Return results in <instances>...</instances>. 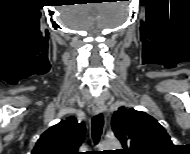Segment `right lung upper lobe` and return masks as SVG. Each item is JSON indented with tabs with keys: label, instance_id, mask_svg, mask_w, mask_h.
I'll return each instance as SVG.
<instances>
[{
	"label": "right lung upper lobe",
	"instance_id": "right-lung-upper-lobe-1",
	"mask_svg": "<svg viewBox=\"0 0 190 154\" xmlns=\"http://www.w3.org/2000/svg\"><path fill=\"white\" fill-rule=\"evenodd\" d=\"M85 125L74 116L50 127L38 139L32 154H77L83 141Z\"/></svg>",
	"mask_w": 190,
	"mask_h": 154
}]
</instances>
